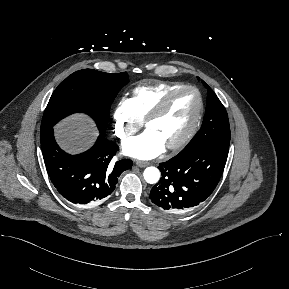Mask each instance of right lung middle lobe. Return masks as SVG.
Masks as SVG:
<instances>
[{
	"mask_svg": "<svg viewBox=\"0 0 289 289\" xmlns=\"http://www.w3.org/2000/svg\"><path fill=\"white\" fill-rule=\"evenodd\" d=\"M128 83V75L92 69L77 71L59 84L43 114L41 132L73 113H86L105 135L111 103Z\"/></svg>",
	"mask_w": 289,
	"mask_h": 289,
	"instance_id": "dd1d6c3e",
	"label": "right lung middle lobe"
}]
</instances>
